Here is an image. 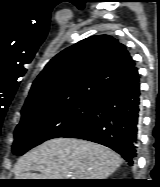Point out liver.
<instances>
[{"label":"liver","instance_id":"liver-1","mask_svg":"<svg viewBox=\"0 0 160 187\" xmlns=\"http://www.w3.org/2000/svg\"><path fill=\"white\" fill-rule=\"evenodd\" d=\"M121 164V157L103 145L75 138H55L18 160L15 179H106Z\"/></svg>","mask_w":160,"mask_h":187}]
</instances>
